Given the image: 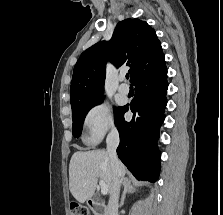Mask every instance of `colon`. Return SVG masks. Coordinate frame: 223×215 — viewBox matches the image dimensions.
Masks as SVG:
<instances>
[{"label":"colon","instance_id":"colon-1","mask_svg":"<svg viewBox=\"0 0 223 215\" xmlns=\"http://www.w3.org/2000/svg\"><path fill=\"white\" fill-rule=\"evenodd\" d=\"M70 215H88V210L80 204H72L70 207Z\"/></svg>","mask_w":223,"mask_h":215}]
</instances>
